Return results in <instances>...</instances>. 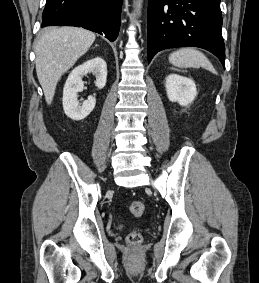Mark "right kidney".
Here are the masks:
<instances>
[{
	"label": "right kidney",
	"instance_id": "ca27d5eb",
	"mask_svg": "<svg viewBox=\"0 0 259 283\" xmlns=\"http://www.w3.org/2000/svg\"><path fill=\"white\" fill-rule=\"evenodd\" d=\"M88 73L96 77L95 86L98 89L104 88L107 80L106 62L96 57L79 65L69 74L63 89V109L69 118L76 121L86 118L96 105V99L93 96H89L82 104L77 100V94L83 88L82 78Z\"/></svg>",
	"mask_w": 259,
	"mask_h": 283
}]
</instances>
